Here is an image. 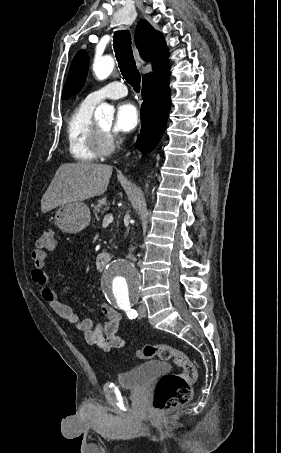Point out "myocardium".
<instances>
[{"mask_svg": "<svg viewBox=\"0 0 281 453\" xmlns=\"http://www.w3.org/2000/svg\"><path fill=\"white\" fill-rule=\"evenodd\" d=\"M93 144L98 155L106 156L115 151L117 144L110 131L103 130L98 124L94 125Z\"/></svg>", "mask_w": 281, "mask_h": 453, "instance_id": "1", "label": "myocardium"}]
</instances>
